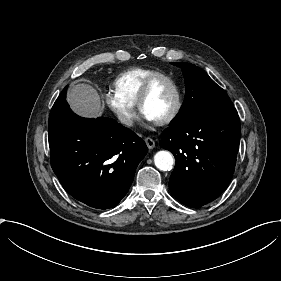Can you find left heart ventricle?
<instances>
[{"instance_id": "obj_1", "label": "left heart ventricle", "mask_w": 281, "mask_h": 281, "mask_svg": "<svg viewBox=\"0 0 281 281\" xmlns=\"http://www.w3.org/2000/svg\"><path fill=\"white\" fill-rule=\"evenodd\" d=\"M175 103V92L167 82H161L154 88L143 106L144 114L153 122L164 120L172 111Z\"/></svg>"}]
</instances>
